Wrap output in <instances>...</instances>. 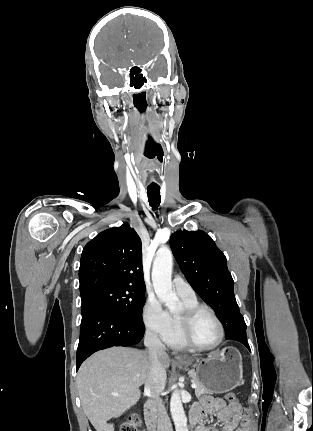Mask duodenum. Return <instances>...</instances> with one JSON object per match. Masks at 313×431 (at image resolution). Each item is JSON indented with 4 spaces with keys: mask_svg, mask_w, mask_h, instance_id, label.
<instances>
[{
    "mask_svg": "<svg viewBox=\"0 0 313 431\" xmlns=\"http://www.w3.org/2000/svg\"><path fill=\"white\" fill-rule=\"evenodd\" d=\"M145 419L146 425L150 431H164L160 430V421L157 415V406L153 399H149L145 405ZM190 421L192 425H196L198 423V417L191 413Z\"/></svg>",
    "mask_w": 313,
    "mask_h": 431,
    "instance_id": "duodenum-1",
    "label": "duodenum"
}]
</instances>
